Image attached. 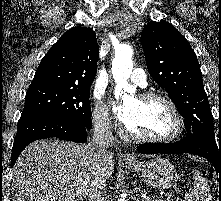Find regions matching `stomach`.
Returning a JSON list of instances; mask_svg holds the SVG:
<instances>
[{"mask_svg":"<svg viewBox=\"0 0 221 201\" xmlns=\"http://www.w3.org/2000/svg\"><path fill=\"white\" fill-rule=\"evenodd\" d=\"M125 164L128 169L139 174L148 186L155 189H168L175 185L178 178L174 166L160 157L147 162Z\"/></svg>","mask_w":221,"mask_h":201,"instance_id":"stomach-1","label":"stomach"}]
</instances>
